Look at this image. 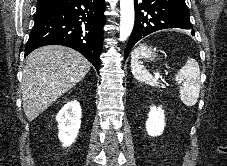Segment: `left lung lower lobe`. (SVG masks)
I'll list each match as a JSON object with an SVG mask.
<instances>
[{
  "mask_svg": "<svg viewBox=\"0 0 227 166\" xmlns=\"http://www.w3.org/2000/svg\"><path fill=\"white\" fill-rule=\"evenodd\" d=\"M169 28L186 29L194 35L185 0H135V24L125 49V59L140 39Z\"/></svg>",
  "mask_w": 227,
  "mask_h": 166,
  "instance_id": "obj_1",
  "label": "left lung lower lobe"
}]
</instances>
